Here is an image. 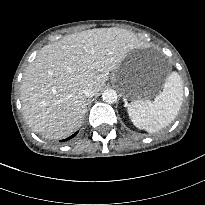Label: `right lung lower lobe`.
I'll use <instances>...</instances> for the list:
<instances>
[{
  "label": "right lung lower lobe",
  "instance_id": "right-lung-lower-lobe-1",
  "mask_svg": "<svg viewBox=\"0 0 205 205\" xmlns=\"http://www.w3.org/2000/svg\"><path fill=\"white\" fill-rule=\"evenodd\" d=\"M78 132H76L75 134H73L72 136H70L69 138H67V139H65V140H62V141H67V140H69V139H71V138H73L76 134H77Z\"/></svg>",
  "mask_w": 205,
  "mask_h": 205
}]
</instances>
